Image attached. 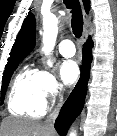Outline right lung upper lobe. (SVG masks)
<instances>
[{"instance_id": "right-lung-upper-lobe-1", "label": "right lung upper lobe", "mask_w": 117, "mask_h": 136, "mask_svg": "<svg viewBox=\"0 0 117 136\" xmlns=\"http://www.w3.org/2000/svg\"><path fill=\"white\" fill-rule=\"evenodd\" d=\"M86 13L89 12L90 0H82ZM36 22L34 15L29 13L25 18L22 27L15 40L10 53V60L24 59L33 50L35 46Z\"/></svg>"}]
</instances>
